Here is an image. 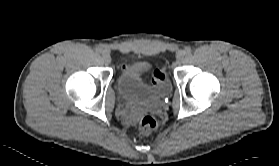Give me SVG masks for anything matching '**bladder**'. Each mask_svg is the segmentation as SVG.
<instances>
[{
	"mask_svg": "<svg viewBox=\"0 0 279 166\" xmlns=\"http://www.w3.org/2000/svg\"><path fill=\"white\" fill-rule=\"evenodd\" d=\"M151 64L145 60H135L123 67L118 77V87L127 99L143 97L150 89L146 74ZM170 90V83L166 77L154 86V95L162 97Z\"/></svg>",
	"mask_w": 279,
	"mask_h": 166,
	"instance_id": "bladder-1",
	"label": "bladder"
}]
</instances>
